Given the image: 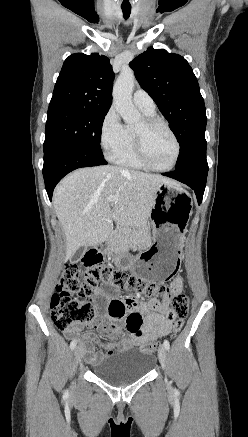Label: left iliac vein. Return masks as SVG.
<instances>
[{
    "instance_id": "1",
    "label": "left iliac vein",
    "mask_w": 248,
    "mask_h": 437,
    "mask_svg": "<svg viewBox=\"0 0 248 437\" xmlns=\"http://www.w3.org/2000/svg\"><path fill=\"white\" fill-rule=\"evenodd\" d=\"M158 358L162 365V368L166 369V361H167V352L164 346H161L158 350Z\"/></svg>"
}]
</instances>
